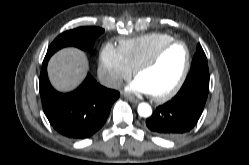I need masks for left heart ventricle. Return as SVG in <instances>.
Instances as JSON below:
<instances>
[{
	"instance_id": "obj_1",
	"label": "left heart ventricle",
	"mask_w": 249,
	"mask_h": 165,
	"mask_svg": "<svg viewBox=\"0 0 249 165\" xmlns=\"http://www.w3.org/2000/svg\"><path fill=\"white\" fill-rule=\"evenodd\" d=\"M186 61V50L176 44L168 48L161 58L137 78L146 86L150 94H163L177 83Z\"/></svg>"
}]
</instances>
